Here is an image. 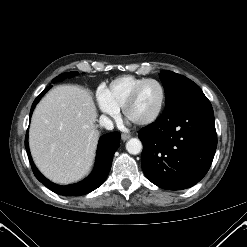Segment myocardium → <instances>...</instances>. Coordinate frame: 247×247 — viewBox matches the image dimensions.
<instances>
[{"instance_id":"f54148a6","label":"myocardium","mask_w":247,"mask_h":247,"mask_svg":"<svg viewBox=\"0 0 247 247\" xmlns=\"http://www.w3.org/2000/svg\"><path fill=\"white\" fill-rule=\"evenodd\" d=\"M148 83H155L159 86V88L161 90V101H160V104H159L157 111L151 117H149L148 119L139 121V122H135L137 125H140V126L150 125V124L154 123L155 121H157L158 118L161 116L164 108H165L166 99H167V93H166V89H165V86L163 85V83L157 79H154V78H146L145 80L141 81L140 83H138L133 88V90L130 92L129 96L127 97V99L125 100V102L123 104L122 112L127 119H129V117H128L129 108L131 107V105L136 100L142 87Z\"/></svg>"}]
</instances>
